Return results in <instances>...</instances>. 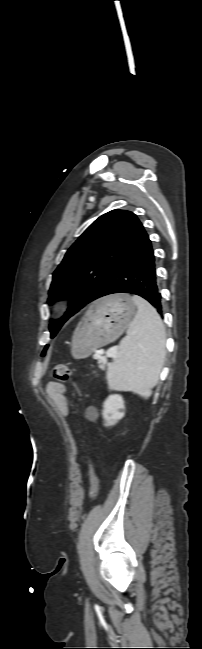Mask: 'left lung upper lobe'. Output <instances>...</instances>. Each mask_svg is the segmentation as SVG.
<instances>
[{
	"label": "left lung upper lobe",
	"instance_id": "obj_1",
	"mask_svg": "<svg viewBox=\"0 0 202 649\" xmlns=\"http://www.w3.org/2000/svg\"><path fill=\"white\" fill-rule=\"evenodd\" d=\"M141 228L132 212L112 210L95 220L70 247L53 273L48 302L62 296L72 302L65 315L49 325L51 338L69 317L95 299L105 278Z\"/></svg>",
	"mask_w": 202,
	"mask_h": 649
}]
</instances>
